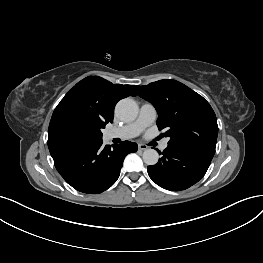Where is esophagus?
I'll return each instance as SVG.
<instances>
[{"label":"esophagus","mask_w":263,"mask_h":263,"mask_svg":"<svg viewBox=\"0 0 263 263\" xmlns=\"http://www.w3.org/2000/svg\"><path fill=\"white\" fill-rule=\"evenodd\" d=\"M138 149H139L140 151H144V150H147V149H148V146L145 145V144H139V145H138Z\"/></svg>","instance_id":"1"}]
</instances>
